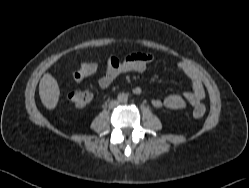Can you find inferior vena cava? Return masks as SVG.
I'll return each mask as SVG.
<instances>
[{
	"instance_id": "1",
	"label": "inferior vena cava",
	"mask_w": 249,
	"mask_h": 188,
	"mask_svg": "<svg viewBox=\"0 0 249 188\" xmlns=\"http://www.w3.org/2000/svg\"><path fill=\"white\" fill-rule=\"evenodd\" d=\"M119 102L117 100H113V101H110L109 103V108H114L116 106H118Z\"/></svg>"
}]
</instances>
